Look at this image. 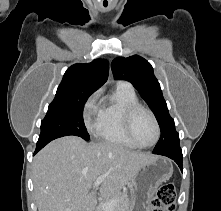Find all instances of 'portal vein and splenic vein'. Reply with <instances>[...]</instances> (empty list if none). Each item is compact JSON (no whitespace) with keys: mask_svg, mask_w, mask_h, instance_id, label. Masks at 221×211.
Wrapping results in <instances>:
<instances>
[{"mask_svg":"<svg viewBox=\"0 0 221 211\" xmlns=\"http://www.w3.org/2000/svg\"><path fill=\"white\" fill-rule=\"evenodd\" d=\"M104 180H105V176H99L93 185V189L97 188ZM115 204H116V199L110 202H105L102 204L103 210L113 211Z\"/></svg>","mask_w":221,"mask_h":211,"instance_id":"1","label":"portal vein and splenic vein"}]
</instances>
